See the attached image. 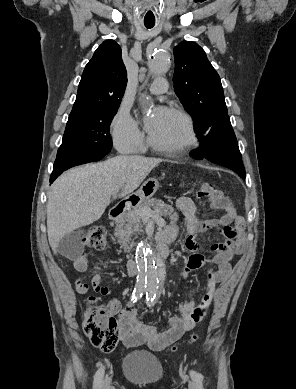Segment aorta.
<instances>
[{
    "label": "aorta",
    "mask_w": 296,
    "mask_h": 389,
    "mask_svg": "<svg viewBox=\"0 0 296 389\" xmlns=\"http://www.w3.org/2000/svg\"><path fill=\"white\" fill-rule=\"evenodd\" d=\"M170 59L169 49L157 47L152 51L148 61L150 71L155 75L165 74L170 66ZM136 257L140 269L137 279L138 285L145 287L153 295L165 279L164 263L152 247L146 243H140L137 246Z\"/></svg>",
    "instance_id": "762f6f07"
}]
</instances>
